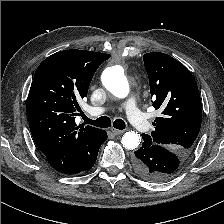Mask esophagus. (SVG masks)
I'll use <instances>...</instances> for the list:
<instances>
[{"instance_id":"esophagus-1","label":"esophagus","mask_w":224,"mask_h":224,"mask_svg":"<svg viewBox=\"0 0 224 224\" xmlns=\"http://www.w3.org/2000/svg\"><path fill=\"white\" fill-rule=\"evenodd\" d=\"M111 132L114 134V135H120L124 132V130H118V129H115V128H112L111 129Z\"/></svg>"}]
</instances>
